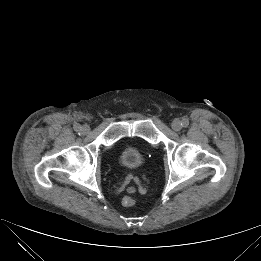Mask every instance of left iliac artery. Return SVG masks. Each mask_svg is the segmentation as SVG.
<instances>
[{"mask_svg":"<svg viewBox=\"0 0 261 261\" xmlns=\"http://www.w3.org/2000/svg\"><path fill=\"white\" fill-rule=\"evenodd\" d=\"M181 125H182L183 127H187V126L189 125V120L186 119V118L183 119Z\"/></svg>","mask_w":261,"mask_h":261,"instance_id":"1","label":"left iliac artery"}]
</instances>
